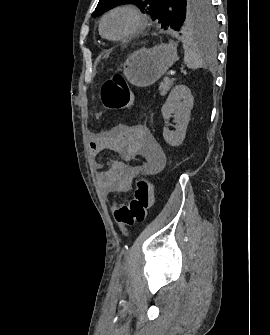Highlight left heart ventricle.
<instances>
[{
  "instance_id": "1",
  "label": "left heart ventricle",
  "mask_w": 270,
  "mask_h": 335,
  "mask_svg": "<svg viewBox=\"0 0 270 335\" xmlns=\"http://www.w3.org/2000/svg\"><path fill=\"white\" fill-rule=\"evenodd\" d=\"M137 26L135 17L126 12L111 15L105 23V33L112 38L120 37Z\"/></svg>"
}]
</instances>
